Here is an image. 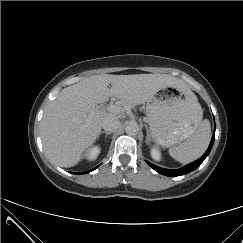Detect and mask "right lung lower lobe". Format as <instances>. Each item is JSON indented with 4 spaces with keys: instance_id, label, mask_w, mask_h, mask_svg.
<instances>
[{
    "instance_id": "98d812e1",
    "label": "right lung lower lobe",
    "mask_w": 243,
    "mask_h": 243,
    "mask_svg": "<svg viewBox=\"0 0 243 243\" xmlns=\"http://www.w3.org/2000/svg\"><path fill=\"white\" fill-rule=\"evenodd\" d=\"M97 167H98V166H97ZM97 167H95V168H94V169H92V170L86 171V172H82V173H74V174H84V173H89V172H91V171L95 170Z\"/></svg>"
}]
</instances>
